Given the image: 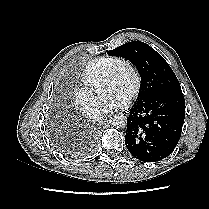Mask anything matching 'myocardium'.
I'll return each instance as SVG.
<instances>
[{"label": "myocardium", "instance_id": "myocardium-1", "mask_svg": "<svg viewBox=\"0 0 209 209\" xmlns=\"http://www.w3.org/2000/svg\"><path fill=\"white\" fill-rule=\"evenodd\" d=\"M123 68L129 69L133 76V82H132V85L130 87L129 94H128L129 100H132L133 98H135V96L137 95L139 91V88L141 85V77H140L138 69L131 61L120 59L118 62H116L113 66H111V68L106 73L103 83L106 84V83L114 81L118 77L120 71Z\"/></svg>", "mask_w": 209, "mask_h": 209}]
</instances>
